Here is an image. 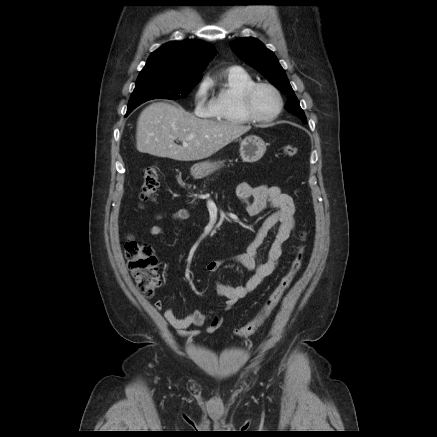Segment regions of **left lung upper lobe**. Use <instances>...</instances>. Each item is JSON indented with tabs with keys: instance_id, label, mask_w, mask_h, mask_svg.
<instances>
[{
	"instance_id": "left-lung-upper-lobe-1",
	"label": "left lung upper lobe",
	"mask_w": 437,
	"mask_h": 437,
	"mask_svg": "<svg viewBox=\"0 0 437 437\" xmlns=\"http://www.w3.org/2000/svg\"><path fill=\"white\" fill-rule=\"evenodd\" d=\"M231 49L247 64L260 72L271 84L287 95L285 109L306 123V116L287 79L284 69L272 51L252 37L239 38L230 43Z\"/></svg>"
}]
</instances>
